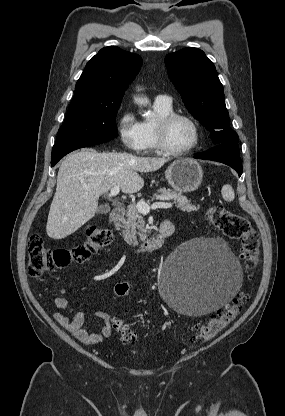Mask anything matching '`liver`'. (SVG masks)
I'll list each match as a JSON object with an SVG mask.
<instances>
[{
  "label": "liver",
  "instance_id": "liver-1",
  "mask_svg": "<svg viewBox=\"0 0 285 416\" xmlns=\"http://www.w3.org/2000/svg\"><path fill=\"white\" fill-rule=\"evenodd\" d=\"M168 158H139L132 154H98L92 148L73 152L62 162L57 188L47 220L46 232L63 240L95 216L98 200L110 188L136 194L144 186L137 172H156Z\"/></svg>",
  "mask_w": 285,
  "mask_h": 416
}]
</instances>
